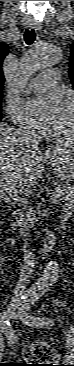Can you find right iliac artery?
<instances>
[{
    "label": "right iliac artery",
    "instance_id": "1",
    "mask_svg": "<svg viewBox=\"0 0 74 366\" xmlns=\"http://www.w3.org/2000/svg\"><path fill=\"white\" fill-rule=\"evenodd\" d=\"M22 299H25V297H23ZM11 306H13V304H11ZM9 310H10V308H8L7 312H9ZM7 312L4 313L2 331L7 336V338L10 340L11 343H15V332H14L9 320L6 318Z\"/></svg>",
    "mask_w": 74,
    "mask_h": 366
}]
</instances>
